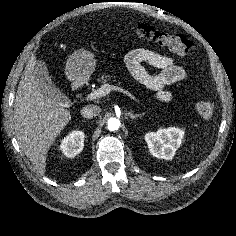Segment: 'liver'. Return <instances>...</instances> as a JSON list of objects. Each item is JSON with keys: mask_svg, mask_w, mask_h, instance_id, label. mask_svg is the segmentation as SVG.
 <instances>
[{"mask_svg": "<svg viewBox=\"0 0 236 236\" xmlns=\"http://www.w3.org/2000/svg\"><path fill=\"white\" fill-rule=\"evenodd\" d=\"M36 57L32 56L18 85L14 103V129L18 144L41 175L46 155L71 113L55 99L45 95L34 76Z\"/></svg>", "mask_w": 236, "mask_h": 236, "instance_id": "1", "label": "liver"}]
</instances>
